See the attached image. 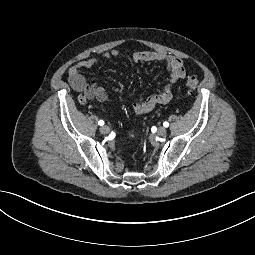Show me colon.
<instances>
[{"mask_svg": "<svg viewBox=\"0 0 255 255\" xmlns=\"http://www.w3.org/2000/svg\"><path fill=\"white\" fill-rule=\"evenodd\" d=\"M198 84H199V80L196 76H190V77H188V79L186 81V87L190 92L194 91L197 88ZM80 100L82 102H85L86 97L84 94H82V96L80 97Z\"/></svg>", "mask_w": 255, "mask_h": 255, "instance_id": "colon-1", "label": "colon"}]
</instances>
